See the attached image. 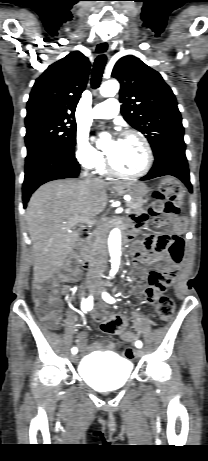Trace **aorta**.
Listing matches in <instances>:
<instances>
[{
  "label": "aorta",
  "instance_id": "aorta-1",
  "mask_svg": "<svg viewBox=\"0 0 208 461\" xmlns=\"http://www.w3.org/2000/svg\"><path fill=\"white\" fill-rule=\"evenodd\" d=\"M119 91V83L116 80H109L104 82L100 87V95L102 97H113ZM108 135L102 134L100 139L96 141L97 147H103ZM108 247L110 253L111 271L110 276H114L120 266L121 262V232L120 229L114 228L108 238Z\"/></svg>",
  "mask_w": 208,
  "mask_h": 461
}]
</instances>
